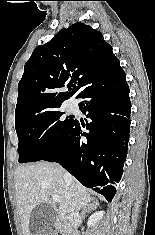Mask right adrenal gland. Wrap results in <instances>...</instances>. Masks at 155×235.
Masks as SVG:
<instances>
[{"label":"right adrenal gland","instance_id":"2a0ac1e0","mask_svg":"<svg viewBox=\"0 0 155 235\" xmlns=\"http://www.w3.org/2000/svg\"><path fill=\"white\" fill-rule=\"evenodd\" d=\"M98 206H99V203L97 201H93L91 204L88 205V207L84 208L82 211V219L85 218L86 213H89L92 210H95Z\"/></svg>","mask_w":155,"mask_h":235}]
</instances>
